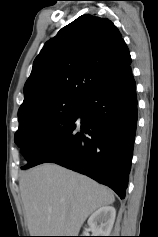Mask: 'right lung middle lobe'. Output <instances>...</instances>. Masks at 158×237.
Wrapping results in <instances>:
<instances>
[{"mask_svg": "<svg viewBox=\"0 0 158 237\" xmlns=\"http://www.w3.org/2000/svg\"><path fill=\"white\" fill-rule=\"evenodd\" d=\"M81 103L80 100L58 98L19 115L15 143L28 161L45 140L72 118Z\"/></svg>", "mask_w": 158, "mask_h": 237, "instance_id": "1", "label": "right lung middle lobe"}]
</instances>
